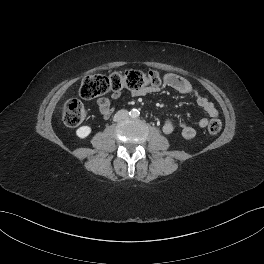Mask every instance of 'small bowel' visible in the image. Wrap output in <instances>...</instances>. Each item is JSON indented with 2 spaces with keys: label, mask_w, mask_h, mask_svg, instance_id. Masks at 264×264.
Returning <instances> with one entry per match:
<instances>
[{
  "label": "small bowel",
  "mask_w": 264,
  "mask_h": 264,
  "mask_svg": "<svg viewBox=\"0 0 264 264\" xmlns=\"http://www.w3.org/2000/svg\"><path fill=\"white\" fill-rule=\"evenodd\" d=\"M163 82H164V85L173 88L180 94L191 95L195 97L197 105L201 107L207 113L209 117L214 118L218 116V110L216 109L214 104L208 98L201 95L197 91V89L185 78L177 74L169 73L164 76ZM153 91H154L153 88L147 87L139 91H134L133 95L143 96ZM120 96H121L120 92L112 93V99L114 100L119 99ZM97 105H98L100 114L105 118L109 117L114 111L112 101L109 98H106V97L99 98L97 100ZM207 124H208L207 118H201L197 122V126H191L184 122H181L179 123L180 134L184 139H192L197 135L198 129L205 128ZM174 130H175V124L173 121L166 120L163 122L162 131L165 134H171L174 132Z\"/></svg>",
  "instance_id": "1"
}]
</instances>
